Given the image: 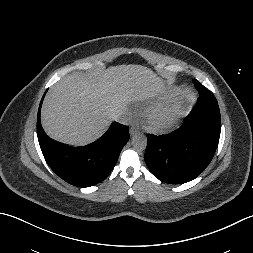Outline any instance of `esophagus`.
I'll use <instances>...</instances> for the list:
<instances>
[{
  "label": "esophagus",
  "instance_id": "1",
  "mask_svg": "<svg viewBox=\"0 0 253 253\" xmlns=\"http://www.w3.org/2000/svg\"><path fill=\"white\" fill-rule=\"evenodd\" d=\"M139 131V128L135 125H132L129 129V133L130 135H134L135 133H137Z\"/></svg>",
  "mask_w": 253,
  "mask_h": 253
}]
</instances>
